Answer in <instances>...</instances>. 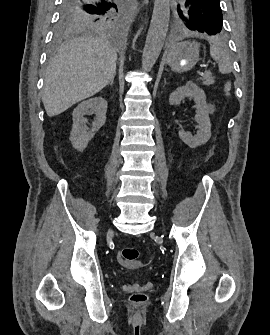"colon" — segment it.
Masks as SVG:
<instances>
[{
	"label": "colon",
	"mask_w": 270,
	"mask_h": 335,
	"mask_svg": "<svg viewBox=\"0 0 270 335\" xmlns=\"http://www.w3.org/2000/svg\"><path fill=\"white\" fill-rule=\"evenodd\" d=\"M225 98H230V93H225ZM139 252L136 248H122L119 253L118 261L123 266H138ZM146 295L142 293H134L131 297L135 304H143L146 301Z\"/></svg>",
	"instance_id": "1"
}]
</instances>
